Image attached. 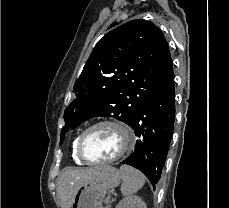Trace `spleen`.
<instances>
[{
	"label": "spleen",
	"instance_id": "1",
	"mask_svg": "<svg viewBox=\"0 0 229 208\" xmlns=\"http://www.w3.org/2000/svg\"><path fill=\"white\" fill-rule=\"evenodd\" d=\"M120 176L123 182L121 186V194H123V196L136 194L145 184V176H143L139 170L131 168V166H121Z\"/></svg>",
	"mask_w": 229,
	"mask_h": 208
}]
</instances>
